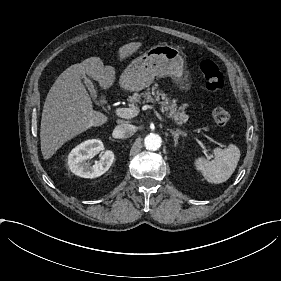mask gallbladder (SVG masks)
I'll return each instance as SVG.
<instances>
[{
    "label": "gallbladder",
    "mask_w": 281,
    "mask_h": 281,
    "mask_svg": "<svg viewBox=\"0 0 281 281\" xmlns=\"http://www.w3.org/2000/svg\"><path fill=\"white\" fill-rule=\"evenodd\" d=\"M84 83H85V85L89 88V90H90V92H91L93 98H95V93H96V92H95V90H94V88H93L92 81H91L88 77H85V78H84Z\"/></svg>",
    "instance_id": "bac80fb5"
}]
</instances>
